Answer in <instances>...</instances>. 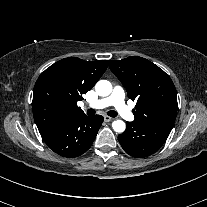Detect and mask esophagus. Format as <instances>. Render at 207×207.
<instances>
[{
  "label": "esophagus",
  "instance_id": "esophagus-1",
  "mask_svg": "<svg viewBox=\"0 0 207 207\" xmlns=\"http://www.w3.org/2000/svg\"><path fill=\"white\" fill-rule=\"evenodd\" d=\"M111 120H112V118L110 116H107V115L104 116L105 122H110Z\"/></svg>",
  "mask_w": 207,
  "mask_h": 207
}]
</instances>
